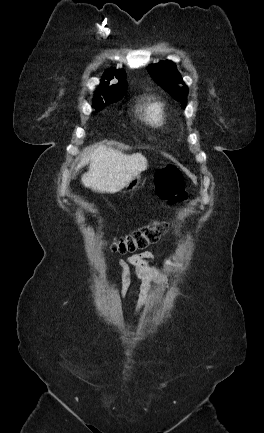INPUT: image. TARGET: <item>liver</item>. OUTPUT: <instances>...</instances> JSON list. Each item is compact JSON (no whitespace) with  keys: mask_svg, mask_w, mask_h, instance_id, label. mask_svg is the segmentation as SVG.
<instances>
[{"mask_svg":"<svg viewBox=\"0 0 264 433\" xmlns=\"http://www.w3.org/2000/svg\"><path fill=\"white\" fill-rule=\"evenodd\" d=\"M87 161H90L89 170L82 175L81 182L85 187L100 193L119 192L148 165L141 153L126 155L102 144L94 149L86 148L77 169Z\"/></svg>","mask_w":264,"mask_h":433,"instance_id":"1","label":"liver"}]
</instances>
